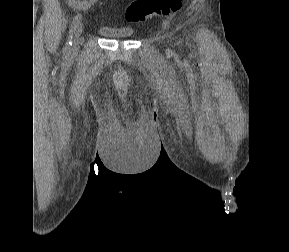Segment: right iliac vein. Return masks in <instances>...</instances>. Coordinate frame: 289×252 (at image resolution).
<instances>
[{"mask_svg": "<svg viewBox=\"0 0 289 252\" xmlns=\"http://www.w3.org/2000/svg\"><path fill=\"white\" fill-rule=\"evenodd\" d=\"M83 28H84L83 24L82 23H78V25H77V27L75 29V33H74V41H73V47H72V52L73 53H76L79 50Z\"/></svg>", "mask_w": 289, "mask_h": 252, "instance_id": "1", "label": "right iliac vein"}]
</instances>
